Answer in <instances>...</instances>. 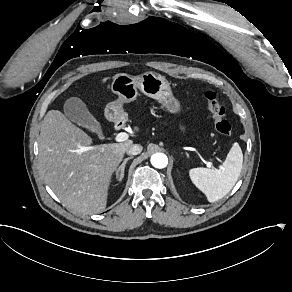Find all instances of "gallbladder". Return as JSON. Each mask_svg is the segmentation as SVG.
Returning <instances> with one entry per match:
<instances>
[{
	"mask_svg": "<svg viewBox=\"0 0 292 292\" xmlns=\"http://www.w3.org/2000/svg\"><path fill=\"white\" fill-rule=\"evenodd\" d=\"M63 111L65 116L73 123L79 125L82 128L88 129L97 120L95 116L88 110L85 102L78 97L68 98L63 105ZM103 133L98 135L99 139H102Z\"/></svg>",
	"mask_w": 292,
	"mask_h": 292,
	"instance_id": "1",
	"label": "gallbladder"
}]
</instances>
